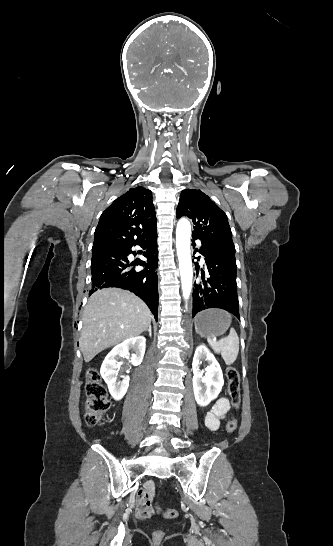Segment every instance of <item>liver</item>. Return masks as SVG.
I'll return each instance as SVG.
<instances>
[{"label": "liver", "mask_w": 333, "mask_h": 546, "mask_svg": "<svg viewBox=\"0 0 333 546\" xmlns=\"http://www.w3.org/2000/svg\"><path fill=\"white\" fill-rule=\"evenodd\" d=\"M152 314L136 295L118 288L93 293L83 311L80 349L85 362L101 351L139 336L149 327Z\"/></svg>", "instance_id": "1"}]
</instances>
